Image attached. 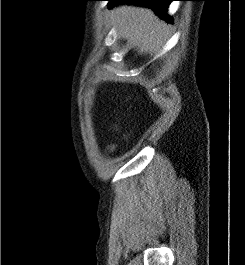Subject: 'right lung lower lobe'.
Wrapping results in <instances>:
<instances>
[{
  "label": "right lung lower lobe",
  "mask_w": 245,
  "mask_h": 265,
  "mask_svg": "<svg viewBox=\"0 0 245 265\" xmlns=\"http://www.w3.org/2000/svg\"><path fill=\"white\" fill-rule=\"evenodd\" d=\"M108 7H113L116 3H132L142 6L151 7L156 13L163 17L166 21H170V17L167 15V8L172 0H108Z\"/></svg>",
  "instance_id": "obj_1"
}]
</instances>
